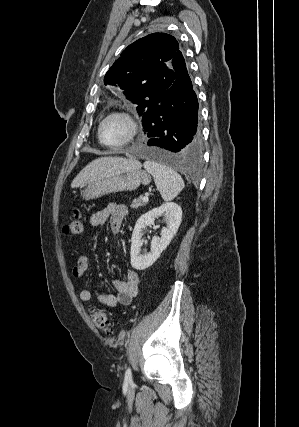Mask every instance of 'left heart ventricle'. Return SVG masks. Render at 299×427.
I'll list each match as a JSON object with an SVG mask.
<instances>
[{"instance_id": "obj_1", "label": "left heart ventricle", "mask_w": 299, "mask_h": 427, "mask_svg": "<svg viewBox=\"0 0 299 427\" xmlns=\"http://www.w3.org/2000/svg\"><path fill=\"white\" fill-rule=\"evenodd\" d=\"M129 133V125L119 116L107 119L101 128V139L107 144H118L126 139Z\"/></svg>"}]
</instances>
